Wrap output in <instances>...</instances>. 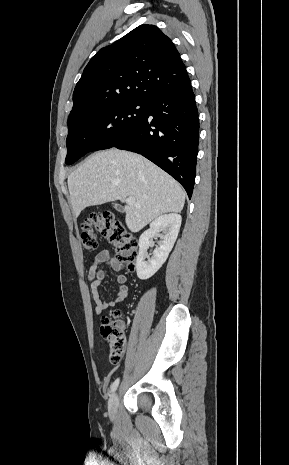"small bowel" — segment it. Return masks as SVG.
<instances>
[{
    "label": "small bowel",
    "instance_id": "small-bowel-1",
    "mask_svg": "<svg viewBox=\"0 0 289 465\" xmlns=\"http://www.w3.org/2000/svg\"><path fill=\"white\" fill-rule=\"evenodd\" d=\"M102 264L108 265V267L113 272L121 271V264L116 258H114L110 254L108 250H103L99 252L93 258L89 272H88V279L90 280V292L96 304V307H95L96 315H100L107 308L113 307L116 304L124 301L128 296V286L126 285L127 277L124 274H119L116 280L120 284V286L117 290L115 299L110 300V301H105L102 299L100 287L106 278L105 271L100 268ZM120 325L121 327H123V323L120 322Z\"/></svg>",
    "mask_w": 289,
    "mask_h": 465
}]
</instances>
